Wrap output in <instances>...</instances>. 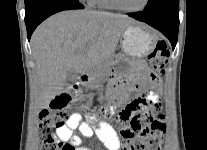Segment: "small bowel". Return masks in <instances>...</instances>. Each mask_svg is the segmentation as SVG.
<instances>
[{
  "instance_id": "1",
  "label": "small bowel",
  "mask_w": 207,
  "mask_h": 150,
  "mask_svg": "<svg viewBox=\"0 0 207 150\" xmlns=\"http://www.w3.org/2000/svg\"><path fill=\"white\" fill-rule=\"evenodd\" d=\"M141 70L143 72V77L132 82L131 86L134 88L141 87L143 80L150 77V72H148L144 66H141ZM119 83L120 82H117L115 84L116 87L119 86ZM159 97L160 90L158 87V96H156V99H159ZM109 102V106L113 109L126 103L124 110H127L134 115L136 111H141V107H128V102H132V100L128 101L126 94L118 93L115 90L109 93ZM76 130L79 132V135L74 133ZM94 135H96L106 149L119 150L120 137L110 123L105 121H96L95 119L83 122L78 113L71 114L66 123L56 129L53 137H57L63 143L70 144L73 147V150H91L90 148L81 145V137L91 138Z\"/></svg>"
}]
</instances>
